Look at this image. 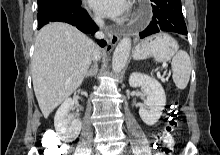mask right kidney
<instances>
[{
	"label": "right kidney",
	"instance_id": "right-kidney-1",
	"mask_svg": "<svg viewBox=\"0 0 220 155\" xmlns=\"http://www.w3.org/2000/svg\"><path fill=\"white\" fill-rule=\"evenodd\" d=\"M74 102L71 98L66 99L57 110L54 117L55 130L64 142H72L75 140L82 128L79 119L72 120L69 111L72 109Z\"/></svg>",
	"mask_w": 220,
	"mask_h": 155
}]
</instances>
